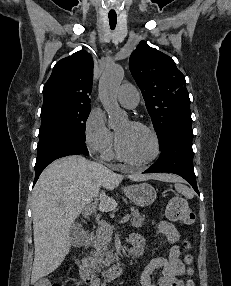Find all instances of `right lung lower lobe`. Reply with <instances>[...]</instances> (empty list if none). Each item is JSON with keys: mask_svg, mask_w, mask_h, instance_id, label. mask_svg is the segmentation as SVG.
I'll return each mask as SVG.
<instances>
[{"mask_svg": "<svg viewBox=\"0 0 231 286\" xmlns=\"http://www.w3.org/2000/svg\"><path fill=\"white\" fill-rule=\"evenodd\" d=\"M34 184L44 168L60 157L83 154L89 155L85 142L75 138H58L37 148Z\"/></svg>", "mask_w": 231, "mask_h": 286, "instance_id": "right-lung-lower-lobe-1", "label": "right lung lower lobe"}]
</instances>
